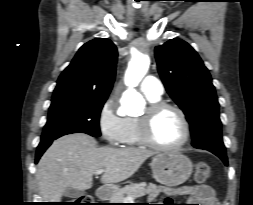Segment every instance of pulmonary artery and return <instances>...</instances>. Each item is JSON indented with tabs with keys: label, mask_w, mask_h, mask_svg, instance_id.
I'll return each instance as SVG.
<instances>
[{
	"label": "pulmonary artery",
	"mask_w": 253,
	"mask_h": 205,
	"mask_svg": "<svg viewBox=\"0 0 253 205\" xmlns=\"http://www.w3.org/2000/svg\"><path fill=\"white\" fill-rule=\"evenodd\" d=\"M140 88L145 95L151 97H161L164 92L162 82L154 76L145 77L141 83Z\"/></svg>",
	"instance_id": "e3ab8cb5"
}]
</instances>
